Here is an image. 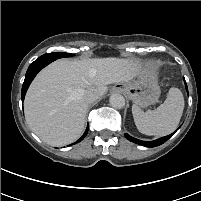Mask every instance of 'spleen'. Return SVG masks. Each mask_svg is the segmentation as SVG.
Instances as JSON below:
<instances>
[{
	"instance_id": "spleen-1",
	"label": "spleen",
	"mask_w": 201,
	"mask_h": 201,
	"mask_svg": "<svg viewBox=\"0 0 201 201\" xmlns=\"http://www.w3.org/2000/svg\"><path fill=\"white\" fill-rule=\"evenodd\" d=\"M184 109V97L178 88L169 89L167 98L156 110L143 112L136 105L132 113L137 129L146 135L165 136L178 126Z\"/></svg>"
}]
</instances>
